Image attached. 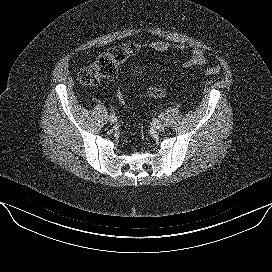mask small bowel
<instances>
[{"mask_svg": "<svg viewBox=\"0 0 272 272\" xmlns=\"http://www.w3.org/2000/svg\"><path fill=\"white\" fill-rule=\"evenodd\" d=\"M149 45L152 50L159 53H168L173 50H184L187 48V45L184 43H172L161 40L152 41ZM206 61L207 59L203 51L200 48H193L189 53V57L183 62V66H201L204 65Z\"/></svg>", "mask_w": 272, "mask_h": 272, "instance_id": "small-bowel-1", "label": "small bowel"}]
</instances>
